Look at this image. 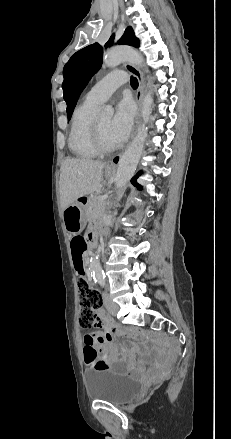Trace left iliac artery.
Returning a JSON list of instances; mask_svg holds the SVG:
<instances>
[{"mask_svg": "<svg viewBox=\"0 0 231 439\" xmlns=\"http://www.w3.org/2000/svg\"><path fill=\"white\" fill-rule=\"evenodd\" d=\"M98 282H99V284H100L102 287L105 286V278H104V277L99 278V279H98Z\"/></svg>", "mask_w": 231, "mask_h": 439, "instance_id": "obj_1", "label": "left iliac artery"}]
</instances>
